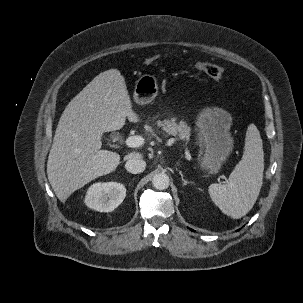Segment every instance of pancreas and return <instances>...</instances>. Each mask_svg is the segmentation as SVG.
<instances>
[{
  "instance_id": "obj_1",
  "label": "pancreas",
  "mask_w": 303,
  "mask_h": 303,
  "mask_svg": "<svg viewBox=\"0 0 303 303\" xmlns=\"http://www.w3.org/2000/svg\"><path fill=\"white\" fill-rule=\"evenodd\" d=\"M157 125L162 127L167 135L176 136L178 139L189 141L191 128L183 121L177 123L176 118L157 121Z\"/></svg>"
}]
</instances>
